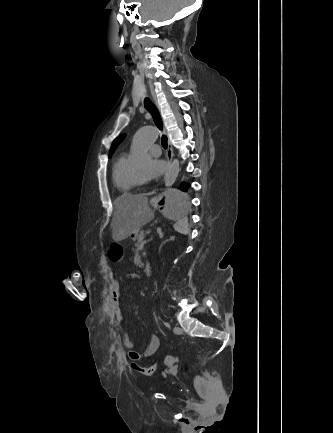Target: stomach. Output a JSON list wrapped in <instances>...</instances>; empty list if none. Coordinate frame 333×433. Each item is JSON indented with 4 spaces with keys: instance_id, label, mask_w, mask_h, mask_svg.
<instances>
[{
    "instance_id": "0dacf381",
    "label": "stomach",
    "mask_w": 333,
    "mask_h": 433,
    "mask_svg": "<svg viewBox=\"0 0 333 433\" xmlns=\"http://www.w3.org/2000/svg\"><path fill=\"white\" fill-rule=\"evenodd\" d=\"M154 206L160 209L163 220H183L184 215H187L189 202L185 200L184 190H180L177 183H172L166 186L163 197L155 199ZM130 236L136 238L137 233H132Z\"/></svg>"
}]
</instances>
